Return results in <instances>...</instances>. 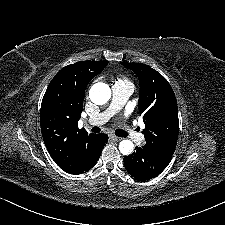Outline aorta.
<instances>
[{"instance_id":"aorta-1","label":"aorta","mask_w":225,"mask_h":225,"mask_svg":"<svg viewBox=\"0 0 225 225\" xmlns=\"http://www.w3.org/2000/svg\"><path fill=\"white\" fill-rule=\"evenodd\" d=\"M90 100L96 105H103L111 98V89L105 83L94 84L89 91ZM134 150V144L130 140H122L119 143V151L123 155H130Z\"/></svg>"}]
</instances>
